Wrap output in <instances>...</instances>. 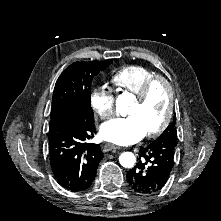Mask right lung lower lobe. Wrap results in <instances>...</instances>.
<instances>
[{
	"mask_svg": "<svg viewBox=\"0 0 221 221\" xmlns=\"http://www.w3.org/2000/svg\"><path fill=\"white\" fill-rule=\"evenodd\" d=\"M94 119L66 113L49 125V154L58 183L73 192L88 189L104 157L99 145L89 143L95 133Z\"/></svg>",
	"mask_w": 221,
	"mask_h": 221,
	"instance_id": "98d812e1",
	"label": "right lung lower lobe"
}]
</instances>
